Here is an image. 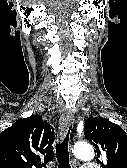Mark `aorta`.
Segmentation results:
<instances>
[{
	"label": "aorta",
	"instance_id": "obj_1",
	"mask_svg": "<svg viewBox=\"0 0 127 168\" xmlns=\"http://www.w3.org/2000/svg\"><path fill=\"white\" fill-rule=\"evenodd\" d=\"M73 152L76 158L84 161H90L95 156L94 149L88 142L77 143L74 146Z\"/></svg>",
	"mask_w": 127,
	"mask_h": 168
}]
</instances>
